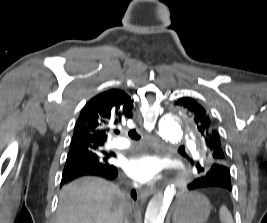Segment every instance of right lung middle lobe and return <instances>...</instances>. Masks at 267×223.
I'll return each instance as SVG.
<instances>
[{
    "label": "right lung middle lobe",
    "mask_w": 267,
    "mask_h": 223,
    "mask_svg": "<svg viewBox=\"0 0 267 223\" xmlns=\"http://www.w3.org/2000/svg\"><path fill=\"white\" fill-rule=\"evenodd\" d=\"M113 153L93 145L80 146L69 151L63 173H72L87 168H105Z\"/></svg>",
    "instance_id": "obj_1"
}]
</instances>
